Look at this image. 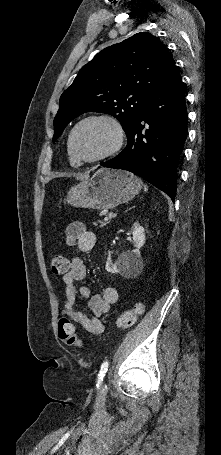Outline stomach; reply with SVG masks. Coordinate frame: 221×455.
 Masks as SVG:
<instances>
[{
  "instance_id": "1",
  "label": "stomach",
  "mask_w": 221,
  "mask_h": 455,
  "mask_svg": "<svg viewBox=\"0 0 221 455\" xmlns=\"http://www.w3.org/2000/svg\"><path fill=\"white\" fill-rule=\"evenodd\" d=\"M141 187V181L127 171L101 168L71 187L66 201L74 207L108 210L133 199Z\"/></svg>"
}]
</instances>
